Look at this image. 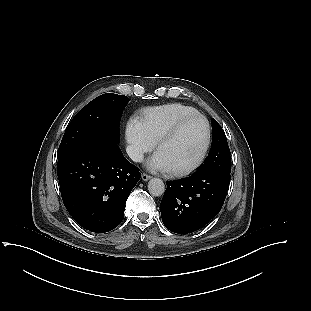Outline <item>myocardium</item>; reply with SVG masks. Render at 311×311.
<instances>
[{
	"instance_id": "f54148a6",
	"label": "myocardium",
	"mask_w": 311,
	"mask_h": 311,
	"mask_svg": "<svg viewBox=\"0 0 311 311\" xmlns=\"http://www.w3.org/2000/svg\"><path fill=\"white\" fill-rule=\"evenodd\" d=\"M194 118H200L201 120H203V122L205 124L206 138H205L204 146H203L200 154L198 155V157L191 164L184 166V167H181V168L170 169V173L174 176H181V175L188 174V173L194 171L195 169H197L202 164V162L204 161V159L208 153L210 144H211V126H210L208 119L204 115H202L198 112L186 115V116L178 119L156 141V149L158 150L159 147L163 143L174 138L185 123H187L188 121H190Z\"/></svg>"
}]
</instances>
